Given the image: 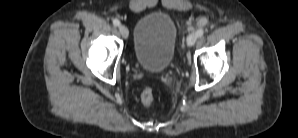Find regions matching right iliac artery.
Returning a JSON list of instances; mask_svg holds the SVG:
<instances>
[{
	"instance_id": "obj_1",
	"label": "right iliac artery",
	"mask_w": 298,
	"mask_h": 138,
	"mask_svg": "<svg viewBox=\"0 0 298 138\" xmlns=\"http://www.w3.org/2000/svg\"><path fill=\"white\" fill-rule=\"evenodd\" d=\"M120 24H121V23H120V21H119L118 19H114V20H113V25H114V26H120Z\"/></svg>"
}]
</instances>
